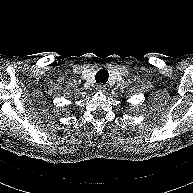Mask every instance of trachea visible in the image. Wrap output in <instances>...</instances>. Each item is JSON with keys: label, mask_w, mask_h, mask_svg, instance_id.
<instances>
[{"label": "trachea", "mask_w": 193, "mask_h": 193, "mask_svg": "<svg viewBox=\"0 0 193 193\" xmlns=\"http://www.w3.org/2000/svg\"><path fill=\"white\" fill-rule=\"evenodd\" d=\"M109 73L105 69L99 70L95 75V80L97 83L105 84L108 81Z\"/></svg>", "instance_id": "3493384b"}]
</instances>
